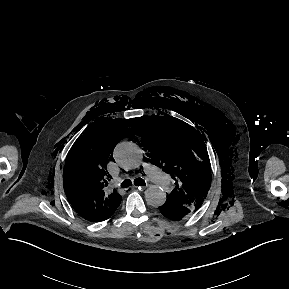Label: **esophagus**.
<instances>
[{
  "label": "esophagus",
  "instance_id": "esophagus-1",
  "mask_svg": "<svg viewBox=\"0 0 289 289\" xmlns=\"http://www.w3.org/2000/svg\"><path fill=\"white\" fill-rule=\"evenodd\" d=\"M133 188H138L139 190H145L147 186H133Z\"/></svg>",
  "mask_w": 289,
  "mask_h": 289
}]
</instances>
